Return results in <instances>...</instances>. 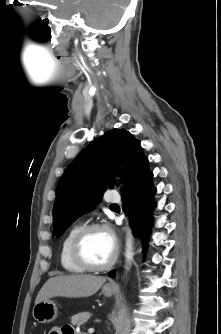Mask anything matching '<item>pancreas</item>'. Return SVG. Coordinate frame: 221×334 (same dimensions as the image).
<instances>
[{
	"mask_svg": "<svg viewBox=\"0 0 221 334\" xmlns=\"http://www.w3.org/2000/svg\"><path fill=\"white\" fill-rule=\"evenodd\" d=\"M91 316L92 314L89 312L78 313L71 317V322L74 325L81 326L86 323Z\"/></svg>",
	"mask_w": 221,
	"mask_h": 334,
	"instance_id": "cf45deb5",
	"label": "pancreas"
}]
</instances>
